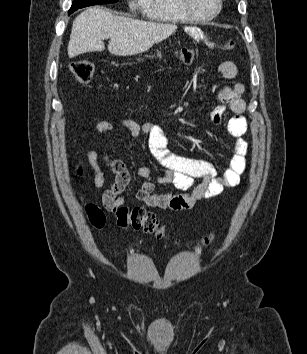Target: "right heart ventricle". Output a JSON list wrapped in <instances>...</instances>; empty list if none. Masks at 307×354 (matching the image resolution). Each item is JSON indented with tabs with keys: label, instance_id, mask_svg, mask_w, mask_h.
<instances>
[{
	"label": "right heart ventricle",
	"instance_id": "right-heart-ventricle-1",
	"mask_svg": "<svg viewBox=\"0 0 307 354\" xmlns=\"http://www.w3.org/2000/svg\"><path fill=\"white\" fill-rule=\"evenodd\" d=\"M142 9L147 18L165 23H184L190 19L182 12L179 0H143Z\"/></svg>",
	"mask_w": 307,
	"mask_h": 354
}]
</instances>
